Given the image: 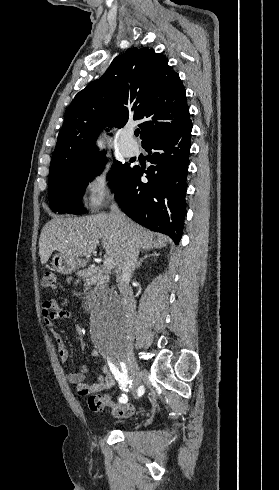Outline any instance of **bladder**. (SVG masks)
Instances as JSON below:
<instances>
[{"label": "bladder", "mask_w": 279, "mask_h": 490, "mask_svg": "<svg viewBox=\"0 0 279 490\" xmlns=\"http://www.w3.org/2000/svg\"><path fill=\"white\" fill-rule=\"evenodd\" d=\"M122 426L120 422H109L105 425L106 430L118 429Z\"/></svg>", "instance_id": "obj_1"}]
</instances>
